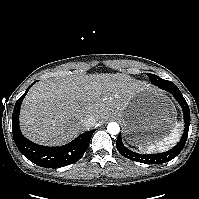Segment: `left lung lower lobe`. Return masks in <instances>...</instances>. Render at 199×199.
I'll list each match as a JSON object with an SVG mask.
<instances>
[{
    "instance_id": "1",
    "label": "left lung lower lobe",
    "mask_w": 199,
    "mask_h": 199,
    "mask_svg": "<svg viewBox=\"0 0 199 199\" xmlns=\"http://www.w3.org/2000/svg\"><path fill=\"white\" fill-rule=\"evenodd\" d=\"M158 87L170 92L181 105L183 114H184V122H185L184 134L180 142L173 149L164 153L151 154V155H142V154H138L127 149L123 145L122 140H121V135L119 134L116 141V147L118 151L120 152V154L128 159L141 162V163H147V164L166 163L172 160L173 158H175L181 152V150L183 149L186 143V140L188 137L189 124H190V111H189L188 104L186 100L184 99V97L182 96L180 90L173 83L160 84L158 85Z\"/></svg>"
}]
</instances>
